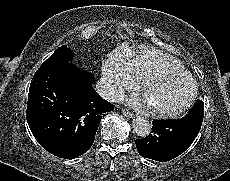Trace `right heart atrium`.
I'll return each mask as SVG.
<instances>
[{
	"mask_svg": "<svg viewBox=\"0 0 230 181\" xmlns=\"http://www.w3.org/2000/svg\"><path fill=\"white\" fill-rule=\"evenodd\" d=\"M102 83L105 92L116 97L135 84L136 77L132 72L115 67L108 60L102 65Z\"/></svg>",
	"mask_w": 230,
	"mask_h": 181,
	"instance_id": "obj_1",
	"label": "right heart atrium"
}]
</instances>
